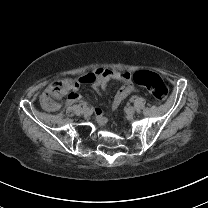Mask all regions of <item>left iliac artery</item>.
Segmentation results:
<instances>
[{
	"label": "left iliac artery",
	"mask_w": 208,
	"mask_h": 208,
	"mask_svg": "<svg viewBox=\"0 0 208 208\" xmlns=\"http://www.w3.org/2000/svg\"><path fill=\"white\" fill-rule=\"evenodd\" d=\"M134 101V98L132 97V98H130V102H133Z\"/></svg>",
	"instance_id": "obj_1"
}]
</instances>
